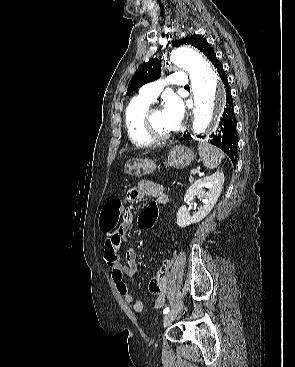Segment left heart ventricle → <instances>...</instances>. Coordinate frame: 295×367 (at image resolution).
I'll use <instances>...</instances> for the list:
<instances>
[{"mask_svg": "<svg viewBox=\"0 0 295 367\" xmlns=\"http://www.w3.org/2000/svg\"><path fill=\"white\" fill-rule=\"evenodd\" d=\"M153 124L155 126V128L164 134H170L172 133V130L168 127V125L165 122L164 116H163V112L162 110L158 109L153 113Z\"/></svg>", "mask_w": 295, "mask_h": 367, "instance_id": "b2bd125f", "label": "left heart ventricle"}]
</instances>
